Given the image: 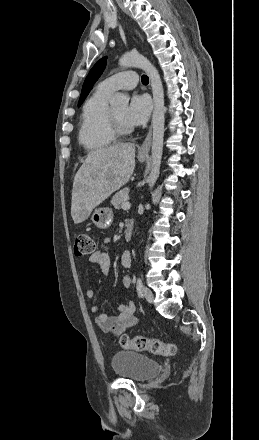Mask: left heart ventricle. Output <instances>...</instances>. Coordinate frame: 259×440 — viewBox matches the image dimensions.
I'll return each instance as SVG.
<instances>
[{"mask_svg":"<svg viewBox=\"0 0 259 440\" xmlns=\"http://www.w3.org/2000/svg\"><path fill=\"white\" fill-rule=\"evenodd\" d=\"M126 110H127V107H126V106H121V107H117V108H114V109H113V111H114L115 115L117 116V118H118L121 122H123L124 124L128 125V124L126 123V120H125Z\"/></svg>","mask_w":259,"mask_h":440,"instance_id":"left-heart-ventricle-1","label":"left heart ventricle"}]
</instances>
